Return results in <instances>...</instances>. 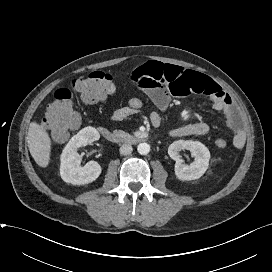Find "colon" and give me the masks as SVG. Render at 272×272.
<instances>
[{"mask_svg":"<svg viewBox=\"0 0 272 272\" xmlns=\"http://www.w3.org/2000/svg\"><path fill=\"white\" fill-rule=\"evenodd\" d=\"M116 91L113 78L108 73L93 71L87 75L75 78L70 88H60L54 94L53 101L48 105L44 123L56 142L64 140L72 128L79 124V115L73 106V92L80 95L83 101L94 103L101 101ZM127 106L139 111L143 102L137 97L130 98ZM214 145L218 149L227 147V141L223 138L215 140Z\"/></svg>","mask_w":272,"mask_h":272,"instance_id":"colon-1","label":"colon"}]
</instances>
